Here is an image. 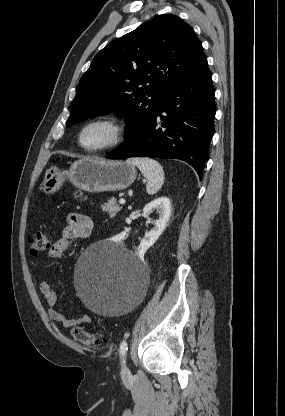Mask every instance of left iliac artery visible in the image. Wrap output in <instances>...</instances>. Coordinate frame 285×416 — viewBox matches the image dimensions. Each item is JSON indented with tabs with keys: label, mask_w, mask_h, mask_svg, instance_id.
Wrapping results in <instances>:
<instances>
[{
	"label": "left iliac artery",
	"mask_w": 285,
	"mask_h": 416,
	"mask_svg": "<svg viewBox=\"0 0 285 416\" xmlns=\"http://www.w3.org/2000/svg\"><path fill=\"white\" fill-rule=\"evenodd\" d=\"M128 350L127 342L123 340L120 344V356L123 358Z\"/></svg>",
	"instance_id": "1"
}]
</instances>
